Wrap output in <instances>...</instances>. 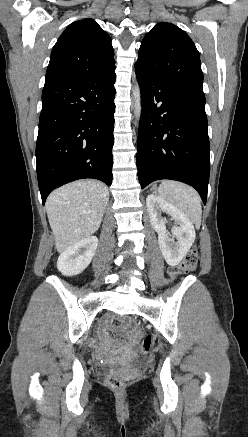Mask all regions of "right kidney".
I'll return each instance as SVG.
<instances>
[{
	"instance_id": "ca27d5eb",
	"label": "right kidney",
	"mask_w": 248,
	"mask_h": 437,
	"mask_svg": "<svg viewBox=\"0 0 248 437\" xmlns=\"http://www.w3.org/2000/svg\"><path fill=\"white\" fill-rule=\"evenodd\" d=\"M97 245L98 238L89 236L68 247L58 258V270L66 276L80 274L92 261Z\"/></svg>"
}]
</instances>
